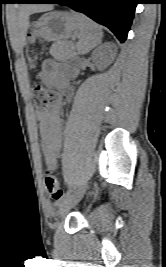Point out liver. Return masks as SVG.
Masks as SVG:
<instances>
[{
	"instance_id": "obj_1",
	"label": "liver",
	"mask_w": 166,
	"mask_h": 267,
	"mask_svg": "<svg viewBox=\"0 0 166 267\" xmlns=\"http://www.w3.org/2000/svg\"><path fill=\"white\" fill-rule=\"evenodd\" d=\"M50 5H28L22 6L18 13V21L16 24L17 37L14 39V43L17 42L21 48L25 45L26 33L29 27V16L33 13L44 12L52 10Z\"/></svg>"
}]
</instances>
